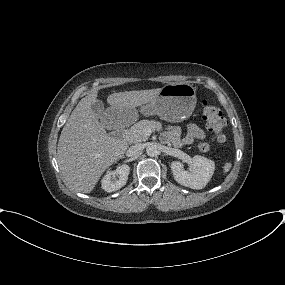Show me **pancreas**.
<instances>
[{"label": "pancreas", "mask_w": 285, "mask_h": 285, "mask_svg": "<svg viewBox=\"0 0 285 285\" xmlns=\"http://www.w3.org/2000/svg\"><path fill=\"white\" fill-rule=\"evenodd\" d=\"M146 128H150L151 130H161L162 124L155 120H140L125 131V139L129 143L146 141L148 139V136L144 132Z\"/></svg>", "instance_id": "1"}]
</instances>
